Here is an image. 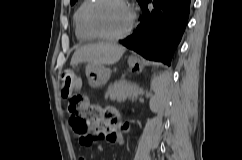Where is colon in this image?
<instances>
[{"mask_svg": "<svg viewBox=\"0 0 242 160\" xmlns=\"http://www.w3.org/2000/svg\"><path fill=\"white\" fill-rule=\"evenodd\" d=\"M60 79L62 96L70 99L68 109L74 132L81 136L82 144H94L96 140L102 137V133L92 129L91 119L96 116V113L79 92L80 80L71 69L63 70Z\"/></svg>", "mask_w": 242, "mask_h": 160, "instance_id": "5ec220e1", "label": "colon"}]
</instances>
